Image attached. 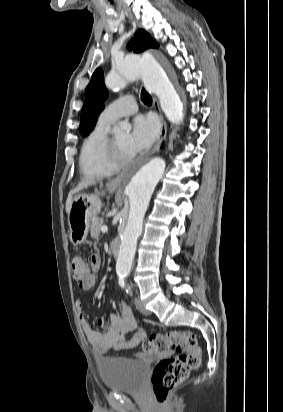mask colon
Segmentation results:
<instances>
[{"label": "colon", "mask_w": 283, "mask_h": 412, "mask_svg": "<svg viewBox=\"0 0 283 412\" xmlns=\"http://www.w3.org/2000/svg\"><path fill=\"white\" fill-rule=\"evenodd\" d=\"M96 269L97 258L94 255L87 261L81 256H75L71 261L73 278L79 283ZM171 348L177 351V355L162 359L156 365L151 379L152 390L159 404H164L170 391L180 385L201 363V349L192 331L172 330L152 335L143 343V350L150 354H162Z\"/></svg>", "instance_id": "obj_1"}]
</instances>
